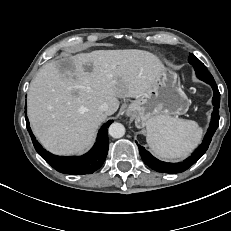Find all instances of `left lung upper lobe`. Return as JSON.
<instances>
[{
  "instance_id": "obj_1",
  "label": "left lung upper lobe",
  "mask_w": 231,
  "mask_h": 231,
  "mask_svg": "<svg viewBox=\"0 0 231 231\" xmlns=\"http://www.w3.org/2000/svg\"><path fill=\"white\" fill-rule=\"evenodd\" d=\"M188 61L191 65H193L196 75L200 80H203L204 82H214L213 76L198 58L191 54Z\"/></svg>"
}]
</instances>
